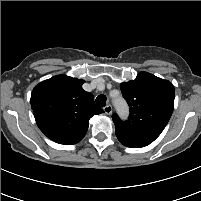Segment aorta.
<instances>
[{"mask_svg": "<svg viewBox=\"0 0 201 201\" xmlns=\"http://www.w3.org/2000/svg\"><path fill=\"white\" fill-rule=\"evenodd\" d=\"M114 106L116 108V110L120 113V114H126L127 113V104L125 102V100L121 97L115 99L113 101Z\"/></svg>", "mask_w": 201, "mask_h": 201, "instance_id": "aorta-1", "label": "aorta"}]
</instances>
